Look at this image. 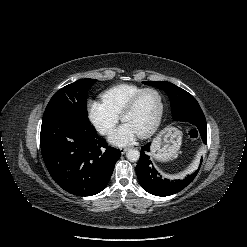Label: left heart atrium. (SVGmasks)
Masks as SVG:
<instances>
[{"label": "left heart atrium", "instance_id": "39dd6f15", "mask_svg": "<svg viewBox=\"0 0 247 247\" xmlns=\"http://www.w3.org/2000/svg\"><path fill=\"white\" fill-rule=\"evenodd\" d=\"M137 136L135 129L130 124L124 123L111 132L109 141L117 146H125L132 143Z\"/></svg>", "mask_w": 247, "mask_h": 247}]
</instances>
